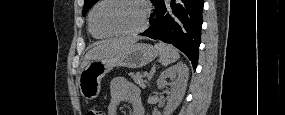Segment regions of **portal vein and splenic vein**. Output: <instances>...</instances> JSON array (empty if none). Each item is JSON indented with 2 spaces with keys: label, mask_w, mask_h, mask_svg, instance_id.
<instances>
[{
  "label": "portal vein and splenic vein",
  "mask_w": 285,
  "mask_h": 115,
  "mask_svg": "<svg viewBox=\"0 0 285 115\" xmlns=\"http://www.w3.org/2000/svg\"><path fill=\"white\" fill-rule=\"evenodd\" d=\"M149 75V73L147 72V71H145L144 73H143V76H148Z\"/></svg>",
  "instance_id": "18ae733b"
}]
</instances>
